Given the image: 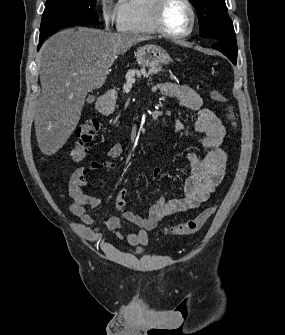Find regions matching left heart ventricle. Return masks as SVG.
<instances>
[{
	"label": "left heart ventricle",
	"instance_id": "1",
	"mask_svg": "<svg viewBox=\"0 0 285 335\" xmlns=\"http://www.w3.org/2000/svg\"><path fill=\"white\" fill-rule=\"evenodd\" d=\"M189 11L180 2L172 3L166 11V23L172 30H180L187 26L189 22Z\"/></svg>",
	"mask_w": 285,
	"mask_h": 335
}]
</instances>
